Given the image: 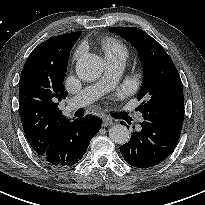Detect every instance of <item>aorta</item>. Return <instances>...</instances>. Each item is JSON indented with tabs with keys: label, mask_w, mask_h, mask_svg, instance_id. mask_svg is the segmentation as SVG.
Returning a JSON list of instances; mask_svg holds the SVG:
<instances>
[{
	"label": "aorta",
	"mask_w": 205,
	"mask_h": 205,
	"mask_svg": "<svg viewBox=\"0 0 205 205\" xmlns=\"http://www.w3.org/2000/svg\"><path fill=\"white\" fill-rule=\"evenodd\" d=\"M103 72V60L96 54H85L76 62L78 77L87 82L98 79ZM110 139L116 144H125L130 139V133L126 126L117 124L109 130Z\"/></svg>",
	"instance_id": "1"
}]
</instances>
